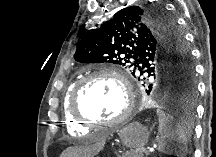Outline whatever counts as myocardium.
I'll return each instance as SVG.
<instances>
[{
  "mask_svg": "<svg viewBox=\"0 0 216 157\" xmlns=\"http://www.w3.org/2000/svg\"><path fill=\"white\" fill-rule=\"evenodd\" d=\"M97 77H108L110 79L115 80L121 87L124 98H125V108L123 112L120 114L118 118L112 121H99L93 118H90L82 113L79 107V99L80 95L86 86V84ZM69 110L72 117L78 121L79 123L89 126V127H97V126H106V127H117L125 124L129 118L131 117L134 110V96L126 78L116 71L113 68H102L93 71L92 73L87 74L86 76L80 78L72 91L69 103Z\"/></svg>",
  "mask_w": 216,
  "mask_h": 157,
  "instance_id": "f54148a6",
  "label": "myocardium"
}]
</instances>
